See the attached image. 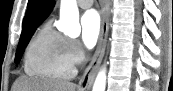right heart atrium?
I'll return each mask as SVG.
<instances>
[{"label": "right heart atrium", "mask_w": 173, "mask_h": 91, "mask_svg": "<svg viewBox=\"0 0 173 91\" xmlns=\"http://www.w3.org/2000/svg\"><path fill=\"white\" fill-rule=\"evenodd\" d=\"M67 54L73 66L81 63L83 59V50L77 40H67Z\"/></svg>", "instance_id": "obj_1"}]
</instances>
